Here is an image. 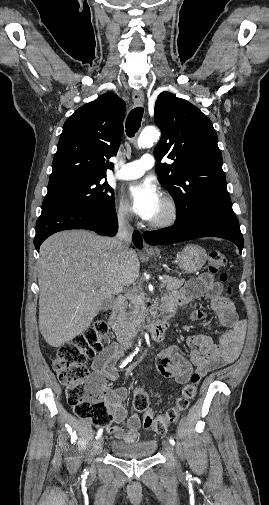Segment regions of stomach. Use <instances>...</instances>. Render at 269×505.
I'll return each mask as SVG.
<instances>
[{"mask_svg":"<svg viewBox=\"0 0 269 505\" xmlns=\"http://www.w3.org/2000/svg\"><path fill=\"white\" fill-rule=\"evenodd\" d=\"M207 260V253L199 245H186L181 252L177 254L175 262L185 273H195L200 270Z\"/></svg>","mask_w":269,"mask_h":505,"instance_id":"1","label":"stomach"}]
</instances>
